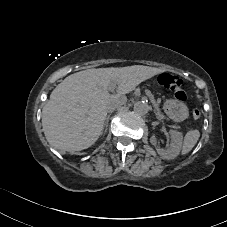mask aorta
I'll use <instances>...</instances> for the list:
<instances>
[{
    "label": "aorta",
    "mask_w": 227,
    "mask_h": 227,
    "mask_svg": "<svg viewBox=\"0 0 227 227\" xmlns=\"http://www.w3.org/2000/svg\"><path fill=\"white\" fill-rule=\"evenodd\" d=\"M133 110L137 115H146L149 111V105L145 101H137L133 105Z\"/></svg>",
    "instance_id": "aorta-1"
}]
</instances>
